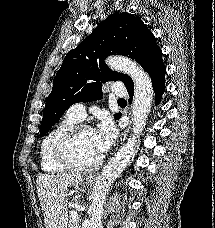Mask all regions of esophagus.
I'll return each instance as SVG.
<instances>
[{
    "label": "esophagus",
    "mask_w": 215,
    "mask_h": 228,
    "mask_svg": "<svg viewBox=\"0 0 215 228\" xmlns=\"http://www.w3.org/2000/svg\"><path fill=\"white\" fill-rule=\"evenodd\" d=\"M131 112H132V105L129 106V116L131 115ZM129 129H130V123L127 126L126 130L123 131V133H122V135L120 137V144H122L123 141L125 140V138L127 137Z\"/></svg>",
    "instance_id": "obj_1"
}]
</instances>
